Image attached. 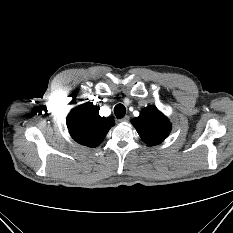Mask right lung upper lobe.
Listing matches in <instances>:
<instances>
[{"label": "right lung upper lobe", "instance_id": "cb5924a9", "mask_svg": "<svg viewBox=\"0 0 233 233\" xmlns=\"http://www.w3.org/2000/svg\"><path fill=\"white\" fill-rule=\"evenodd\" d=\"M114 120L99 115V107L91 102L71 110L67 117V127L72 138L79 144L97 147L104 140Z\"/></svg>", "mask_w": 233, "mask_h": 233}]
</instances>
